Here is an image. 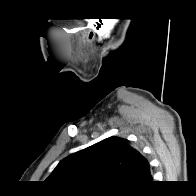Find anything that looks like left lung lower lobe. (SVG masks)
I'll return each mask as SVG.
<instances>
[{"label":"left lung lower lobe","mask_w":196,"mask_h":196,"mask_svg":"<svg viewBox=\"0 0 196 196\" xmlns=\"http://www.w3.org/2000/svg\"><path fill=\"white\" fill-rule=\"evenodd\" d=\"M150 182H152V176H151V173L149 174V176H148V178H147V180H146L145 184H146V183H150Z\"/></svg>","instance_id":"obj_1"}]
</instances>
